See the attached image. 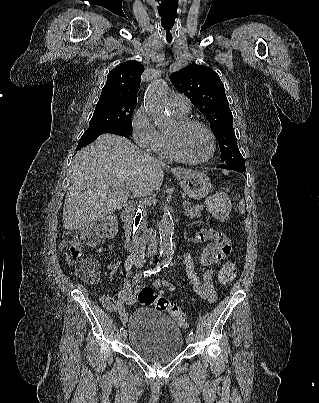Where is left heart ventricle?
<instances>
[{
  "label": "left heart ventricle",
  "instance_id": "1",
  "mask_svg": "<svg viewBox=\"0 0 319 403\" xmlns=\"http://www.w3.org/2000/svg\"><path fill=\"white\" fill-rule=\"evenodd\" d=\"M168 134L174 135L179 144L182 153L193 160H201L208 156L211 150V143L208 134L199 126H192L179 131L177 124L168 131Z\"/></svg>",
  "mask_w": 319,
  "mask_h": 403
}]
</instances>
